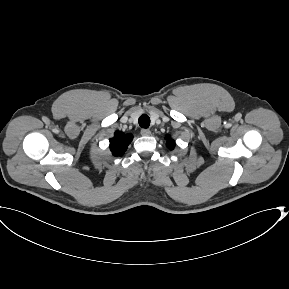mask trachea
<instances>
[{
    "label": "trachea",
    "instance_id": "obj_1",
    "mask_svg": "<svg viewBox=\"0 0 289 289\" xmlns=\"http://www.w3.org/2000/svg\"><path fill=\"white\" fill-rule=\"evenodd\" d=\"M138 122H139L140 127L148 128L150 125V118L148 115L143 114L139 117Z\"/></svg>",
    "mask_w": 289,
    "mask_h": 289
}]
</instances>
